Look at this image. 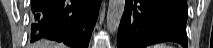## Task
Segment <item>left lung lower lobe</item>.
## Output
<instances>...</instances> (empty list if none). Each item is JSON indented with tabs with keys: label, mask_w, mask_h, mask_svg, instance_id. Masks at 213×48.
I'll return each mask as SVG.
<instances>
[{
	"label": "left lung lower lobe",
	"mask_w": 213,
	"mask_h": 48,
	"mask_svg": "<svg viewBox=\"0 0 213 48\" xmlns=\"http://www.w3.org/2000/svg\"><path fill=\"white\" fill-rule=\"evenodd\" d=\"M187 0H126L117 48H147L175 41L188 48Z\"/></svg>",
	"instance_id": "1"
}]
</instances>
